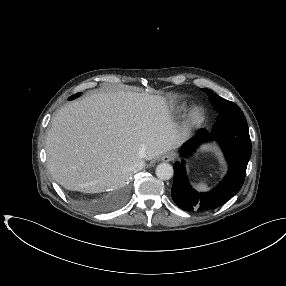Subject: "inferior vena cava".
Returning <instances> with one entry per match:
<instances>
[{
    "instance_id": "obj_1",
    "label": "inferior vena cava",
    "mask_w": 286,
    "mask_h": 286,
    "mask_svg": "<svg viewBox=\"0 0 286 286\" xmlns=\"http://www.w3.org/2000/svg\"><path fill=\"white\" fill-rule=\"evenodd\" d=\"M143 161H140L137 165H136V169L141 168L143 166Z\"/></svg>"
}]
</instances>
